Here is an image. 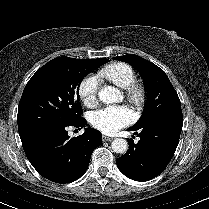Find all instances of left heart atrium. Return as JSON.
<instances>
[{
    "label": "left heart atrium",
    "mask_w": 209,
    "mask_h": 209,
    "mask_svg": "<svg viewBox=\"0 0 209 209\" xmlns=\"http://www.w3.org/2000/svg\"><path fill=\"white\" fill-rule=\"evenodd\" d=\"M134 113L125 106H107L90 115L91 125L103 133H115L134 120Z\"/></svg>",
    "instance_id": "left-heart-atrium-1"
}]
</instances>
